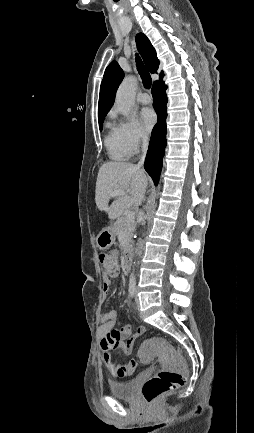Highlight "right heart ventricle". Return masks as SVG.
Masks as SVG:
<instances>
[{
	"label": "right heart ventricle",
	"mask_w": 254,
	"mask_h": 433,
	"mask_svg": "<svg viewBox=\"0 0 254 433\" xmlns=\"http://www.w3.org/2000/svg\"><path fill=\"white\" fill-rule=\"evenodd\" d=\"M107 128L108 132L105 136L104 143L109 157L115 161L125 160L129 154L123 146L117 126L112 123H108Z\"/></svg>",
	"instance_id": "right-heart-ventricle-1"
}]
</instances>
